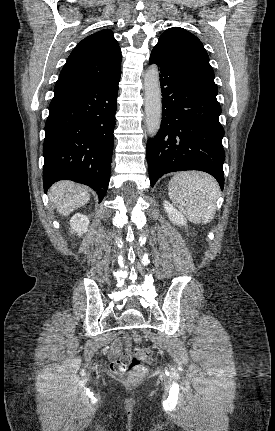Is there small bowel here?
Wrapping results in <instances>:
<instances>
[{
  "mask_svg": "<svg viewBox=\"0 0 275 431\" xmlns=\"http://www.w3.org/2000/svg\"><path fill=\"white\" fill-rule=\"evenodd\" d=\"M121 347H122V340L117 339L113 342L112 347L109 352V358L111 360V364L114 368L118 370H123L125 365L127 364L129 360V354L124 353L121 357Z\"/></svg>",
  "mask_w": 275,
  "mask_h": 431,
  "instance_id": "1",
  "label": "small bowel"
}]
</instances>
